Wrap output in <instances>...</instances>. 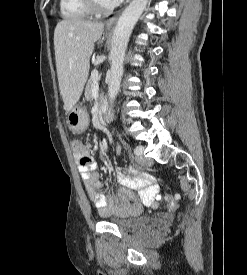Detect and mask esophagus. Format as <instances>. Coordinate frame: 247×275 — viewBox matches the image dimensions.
I'll return each mask as SVG.
<instances>
[{
	"label": "esophagus",
	"mask_w": 247,
	"mask_h": 275,
	"mask_svg": "<svg viewBox=\"0 0 247 275\" xmlns=\"http://www.w3.org/2000/svg\"><path fill=\"white\" fill-rule=\"evenodd\" d=\"M119 13H120V12L116 13L113 17H111V18L107 21V23H106V26H107V27H112V26L115 25V23H116V21H117V18H118V16H119Z\"/></svg>",
	"instance_id": "1"
}]
</instances>
